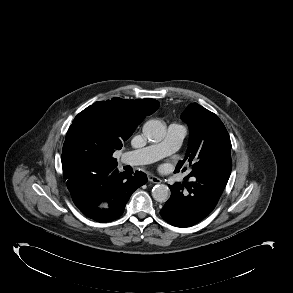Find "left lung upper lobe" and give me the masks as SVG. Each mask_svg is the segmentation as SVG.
Returning <instances> with one entry per match:
<instances>
[{
  "instance_id": "left-lung-upper-lobe-1",
  "label": "left lung upper lobe",
  "mask_w": 293,
  "mask_h": 293,
  "mask_svg": "<svg viewBox=\"0 0 293 293\" xmlns=\"http://www.w3.org/2000/svg\"><path fill=\"white\" fill-rule=\"evenodd\" d=\"M181 118L189 125L190 141L186 156L176 169L180 170L187 161L189 177L211 175L228 181L232 169L231 141L222 121L197 103H191Z\"/></svg>"
}]
</instances>
